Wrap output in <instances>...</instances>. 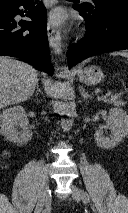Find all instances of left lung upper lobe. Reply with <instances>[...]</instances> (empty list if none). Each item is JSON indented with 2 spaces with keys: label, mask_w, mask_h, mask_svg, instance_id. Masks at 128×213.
I'll list each match as a JSON object with an SVG mask.
<instances>
[{
  "label": "left lung upper lobe",
  "mask_w": 128,
  "mask_h": 213,
  "mask_svg": "<svg viewBox=\"0 0 128 213\" xmlns=\"http://www.w3.org/2000/svg\"><path fill=\"white\" fill-rule=\"evenodd\" d=\"M93 5L82 4L88 10H96L97 13L103 14L106 11L117 7H128V0H92Z\"/></svg>",
  "instance_id": "1"
}]
</instances>
